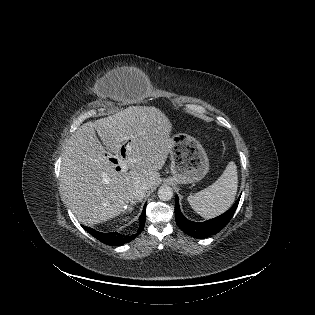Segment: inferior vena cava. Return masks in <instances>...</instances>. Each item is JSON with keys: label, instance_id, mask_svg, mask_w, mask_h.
<instances>
[{"label": "inferior vena cava", "instance_id": "inferior-vena-cava-1", "mask_svg": "<svg viewBox=\"0 0 315 315\" xmlns=\"http://www.w3.org/2000/svg\"><path fill=\"white\" fill-rule=\"evenodd\" d=\"M149 190V185L145 182L138 184L135 188L134 197L136 200H141Z\"/></svg>", "mask_w": 315, "mask_h": 315}]
</instances>
